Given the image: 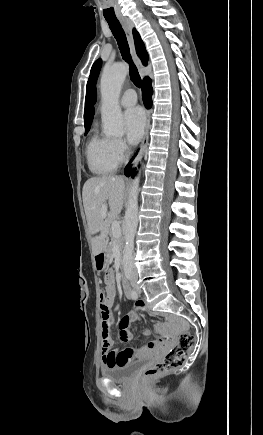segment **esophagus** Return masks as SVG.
<instances>
[{"label": "esophagus", "instance_id": "obj_1", "mask_svg": "<svg viewBox=\"0 0 263 435\" xmlns=\"http://www.w3.org/2000/svg\"><path fill=\"white\" fill-rule=\"evenodd\" d=\"M120 22L122 24L123 29L125 30L126 36H127V40L129 43V47H130V53L131 56L136 64V66L140 69L142 68V63L141 60L139 59V57L136 54V50H135V44H134V38H133V33H132V29H133V23L131 22L130 19L128 18H121ZM149 128H150V112L149 110L146 111V125H145V131H144V136L140 145V150L137 154V156L135 157V159L133 160V164L137 162L138 159L141 158L144 149L147 146L148 143V134H149Z\"/></svg>", "mask_w": 263, "mask_h": 435}]
</instances>
